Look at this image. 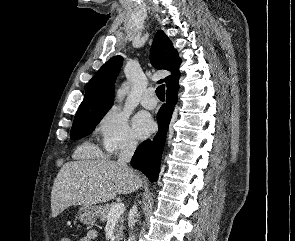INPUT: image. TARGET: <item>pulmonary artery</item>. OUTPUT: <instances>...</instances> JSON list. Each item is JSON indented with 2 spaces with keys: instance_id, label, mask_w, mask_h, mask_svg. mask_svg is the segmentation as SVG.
<instances>
[{
  "instance_id": "pulmonary-artery-1",
  "label": "pulmonary artery",
  "mask_w": 295,
  "mask_h": 241,
  "mask_svg": "<svg viewBox=\"0 0 295 241\" xmlns=\"http://www.w3.org/2000/svg\"><path fill=\"white\" fill-rule=\"evenodd\" d=\"M141 105L146 109H154L156 107V100L154 98L153 89H148L143 94L141 100Z\"/></svg>"
}]
</instances>
